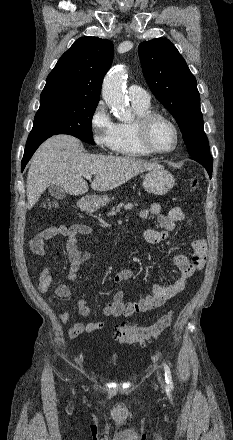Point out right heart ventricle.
I'll use <instances>...</instances> for the list:
<instances>
[{"label":"right heart ventricle","mask_w":233,"mask_h":440,"mask_svg":"<svg viewBox=\"0 0 233 440\" xmlns=\"http://www.w3.org/2000/svg\"><path fill=\"white\" fill-rule=\"evenodd\" d=\"M132 104L136 118L151 111L150 104ZM134 121L116 123L114 152L131 158L147 157L150 154L141 147L138 141Z\"/></svg>","instance_id":"obj_1"}]
</instances>
